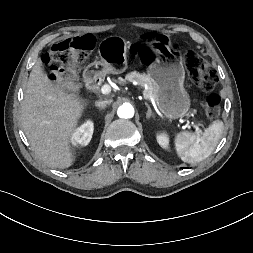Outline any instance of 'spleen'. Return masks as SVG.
Listing matches in <instances>:
<instances>
[{
    "instance_id": "obj_1",
    "label": "spleen",
    "mask_w": 253,
    "mask_h": 253,
    "mask_svg": "<svg viewBox=\"0 0 253 253\" xmlns=\"http://www.w3.org/2000/svg\"><path fill=\"white\" fill-rule=\"evenodd\" d=\"M223 122L214 121L203 133L181 132L175 137L178 157L189 164H196L211 155L221 139Z\"/></svg>"
}]
</instances>
